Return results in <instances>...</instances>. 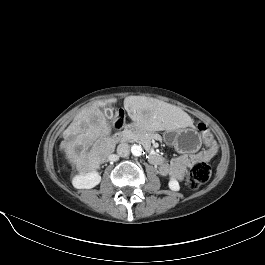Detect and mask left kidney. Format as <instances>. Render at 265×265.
<instances>
[{
	"instance_id": "1",
	"label": "left kidney",
	"mask_w": 265,
	"mask_h": 265,
	"mask_svg": "<svg viewBox=\"0 0 265 265\" xmlns=\"http://www.w3.org/2000/svg\"><path fill=\"white\" fill-rule=\"evenodd\" d=\"M168 186L172 191H179L180 190L179 182L175 179H170Z\"/></svg>"
}]
</instances>
